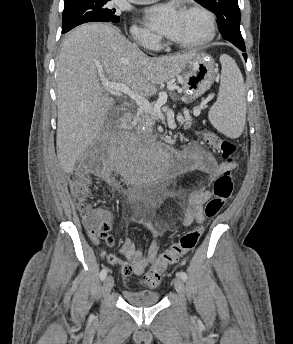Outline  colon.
Listing matches in <instances>:
<instances>
[{
    "mask_svg": "<svg viewBox=\"0 0 293 344\" xmlns=\"http://www.w3.org/2000/svg\"><path fill=\"white\" fill-rule=\"evenodd\" d=\"M204 141L209 147L218 152L227 163L234 161L236 147L232 142L223 140L212 132L204 134ZM88 185L89 181L85 176L76 177L73 182L72 192L76 199L77 210L92 236L106 237L110 232V224L104 213L91 205ZM233 189L232 173L227 170L214 182L213 196L205 205V216L207 218L216 216L222 210L226 201L231 197ZM203 231V226L188 231L177 243L172 244L162 252L150 270L143 276L142 283L148 288H156L165 269L192 251L197 246Z\"/></svg>",
    "mask_w": 293,
    "mask_h": 344,
    "instance_id": "colon-1",
    "label": "colon"
}]
</instances>
